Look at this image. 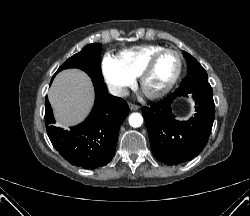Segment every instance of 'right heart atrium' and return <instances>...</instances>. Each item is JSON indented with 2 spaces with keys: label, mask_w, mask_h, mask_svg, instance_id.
Wrapping results in <instances>:
<instances>
[{
  "label": "right heart atrium",
  "mask_w": 250,
  "mask_h": 216,
  "mask_svg": "<svg viewBox=\"0 0 250 216\" xmlns=\"http://www.w3.org/2000/svg\"><path fill=\"white\" fill-rule=\"evenodd\" d=\"M102 73L109 89L116 96H124L135 83V78L111 55L103 58Z\"/></svg>",
  "instance_id": "1"
}]
</instances>
